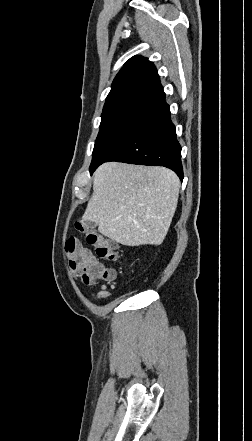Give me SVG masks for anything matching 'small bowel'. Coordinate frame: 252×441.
Returning <instances> with one entry per match:
<instances>
[{
    "mask_svg": "<svg viewBox=\"0 0 252 441\" xmlns=\"http://www.w3.org/2000/svg\"><path fill=\"white\" fill-rule=\"evenodd\" d=\"M108 295L109 294L106 291H99L97 293L92 294L93 298H95V299H102V298L107 297Z\"/></svg>",
    "mask_w": 252,
    "mask_h": 441,
    "instance_id": "obj_1",
    "label": "small bowel"
}]
</instances>
